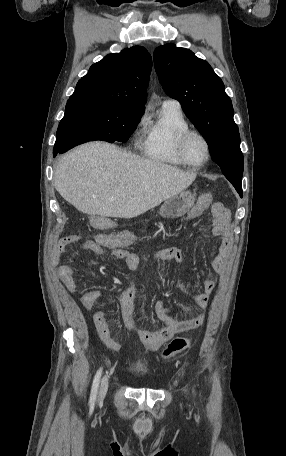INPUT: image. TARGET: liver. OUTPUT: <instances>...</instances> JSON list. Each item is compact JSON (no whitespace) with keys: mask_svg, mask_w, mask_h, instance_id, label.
Instances as JSON below:
<instances>
[{"mask_svg":"<svg viewBox=\"0 0 286 456\" xmlns=\"http://www.w3.org/2000/svg\"><path fill=\"white\" fill-rule=\"evenodd\" d=\"M196 173L103 142L67 153L54 170V186L79 211L103 217L133 218L184 191Z\"/></svg>","mask_w":286,"mask_h":456,"instance_id":"liver-1","label":"liver"}]
</instances>
